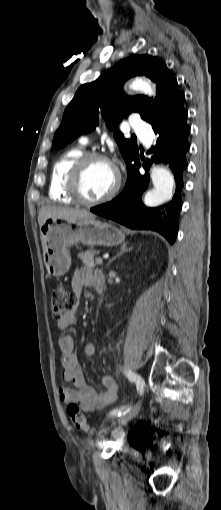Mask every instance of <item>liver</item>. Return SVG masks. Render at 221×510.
Here are the masks:
<instances>
[{"mask_svg":"<svg viewBox=\"0 0 221 510\" xmlns=\"http://www.w3.org/2000/svg\"><path fill=\"white\" fill-rule=\"evenodd\" d=\"M49 217H59L68 221H76L82 219H93L95 215L85 209L63 207V206H43L39 210L38 223L41 226Z\"/></svg>","mask_w":221,"mask_h":510,"instance_id":"1","label":"liver"}]
</instances>
